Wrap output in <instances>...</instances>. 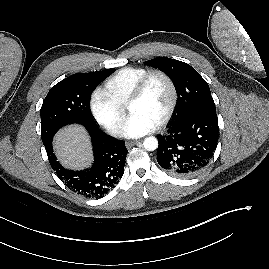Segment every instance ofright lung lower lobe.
<instances>
[{
    "mask_svg": "<svg viewBox=\"0 0 269 269\" xmlns=\"http://www.w3.org/2000/svg\"><path fill=\"white\" fill-rule=\"evenodd\" d=\"M92 141L94 162L83 171L65 169L56 159L52 139L44 144L51 167L70 189L88 198H101L112 190L124 173L128 153L125 142L99 130L86 127Z\"/></svg>",
    "mask_w": 269,
    "mask_h": 269,
    "instance_id": "right-lung-lower-lobe-1",
    "label": "right lung lower lobe"
}]
</instances>
